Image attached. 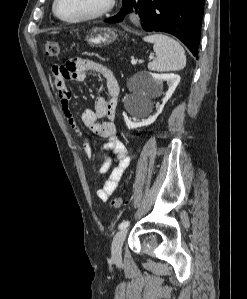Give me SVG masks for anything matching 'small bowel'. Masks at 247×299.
<instances>
[{
  "instance_id": "small-bowel-1",
  "label": "small bowel",
  "mask_w": 247,
  "mask_h": 299,
  "mask_svg": "<svg viewBox=\"0 0 247 299\" xmlns=\"http://www.w3.org/2000/svg\"><path fill=\"white\" fill-rule=\"evenodd\" d=\"M90 72L99 73L105 78L108 95L107 97H98L94 110L85 109L81 115V121L84 126L93 134L104 139L100 146L101 150L113 154L115 158L113 163L112 158L106 155L99 169L100 174L109 172L108 178L96 192L97 197L105 202L116 190L126 168L131 162V157L125 145L119 140L116 134L114 123L119 97L118 82L110 69L92 60L73 59L68 60L65 64H55L52 66L54 84L58 92L62 112L70 125L81 136L83 133L70 107L71 94L67 88L66 81L83 82L86 79L87 73ZM82 152L87 158L92 156V144L86 138Z\"/></svg>"
}]
</instances>
